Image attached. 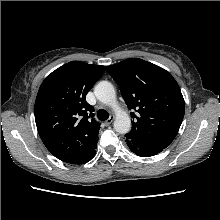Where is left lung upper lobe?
Masks as SVG:
<instances>
[{
  "label": "left lung upper lobe",
  "instance_id": "1",
  "mask_svg": "<svg viewBox=\"0 0 220 220\" xmlns=\"http://www.w3.org/2000/svg\"><path fill=\"white\" fill-rule=\"evenodd\" d=\"M131 112L133 144L164 149L181 126L185 102L178 83L165 69L139 58L107 66Z\"/></svg>",
  "mask_w": 220,
  "mask_h": 220
}]
</instances>
